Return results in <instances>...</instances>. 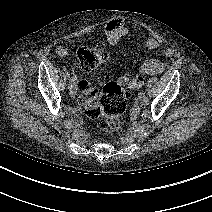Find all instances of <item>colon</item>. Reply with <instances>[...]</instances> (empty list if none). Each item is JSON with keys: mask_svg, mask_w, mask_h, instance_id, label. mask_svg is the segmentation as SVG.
<instances>
[{"mask_svg": "<svg viewBox=\"0 0 212 212\" xmlns=\"http://www.w3.org/2000/svg\"><path fill=\"white\" fill-rule=\"evenodd\" d=\"M107 58L108 53L103 48L83 47L78 51L79 68L83 72L97 68ZM143 81L142 76L125 74L120 80L106 82L101 89L88 86L80 98L86 115L92 119H101V128L106 132L119 131L128 106L127 89L137 88Z\"/></svg>", "mask_w": 212, "mask_h": 212, "instance_id": "obj_1", "label": "colon"}]
</instances>
